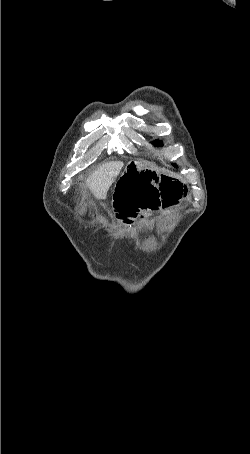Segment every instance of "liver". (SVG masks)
Here are the masks:
<instances>
[{
  "instance_id": "obj_1",
  "label": "liver",
  "mask_w": 250,
  "mask_h": 454,
  "mask_svg": "<svg viewBox=\"0 0 250 454\" xmlns=\"http://www.w3.org/2000/svg\"><path fill=\"white\" fill-rule=\"evenodd\" d=\"M121 161H112L100 165L87 179V186L96 198L105 199L107 192L119 175L122 167Z\"/></svg>"
}]
</instances>
